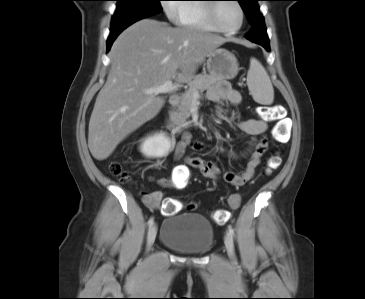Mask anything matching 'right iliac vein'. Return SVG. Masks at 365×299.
Here are the masks:
<instances>
[{"instance_id":"obj_1","label":"right iliac vein","mask_w":365,"mask_h":299,"mask_svg":"<svg viewBox=\"0 0 365 299\" xmlns=\"http://www.w3.org/2000/svg\"><path fill=\"white\" fill-rule=\"evenodd\" d=\"M156 235H157V226L155 224L151 225L149 230H148V235H147V250H150L152 245L155 242L156 239Z\"/></svg>"}]
</instances>
